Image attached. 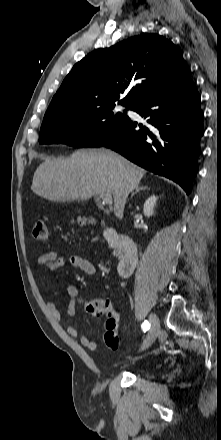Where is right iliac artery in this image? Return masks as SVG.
I'll return each instance as SVG.
<instances>
[{
  "instance_id": "1",
  "label": "right iliac artery",
  "mask_w": 221,
  "mask_h": 440,
  "mask_svg": "<svg viewBox=\"0 0 221 440\" xmlns=\"http://www.w3.org/2000/svg\"><path fill=\"white\" fill-rule=\"evenodd\" d=\"M149 328H150V323L147 320H145L144 323L142 324V330L146 332Z\"/></svg>"
}]
</instances>
